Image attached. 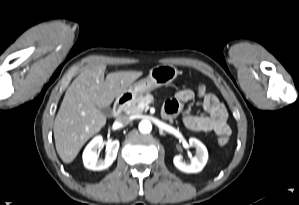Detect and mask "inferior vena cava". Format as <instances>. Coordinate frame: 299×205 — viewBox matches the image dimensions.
Instances as JSON below:
<instances>
[{"label":"inferior vena cava","instance_id":"1","mask_svg":"<svg viewBox=\"0 0 299 205\" xmlns=\"http://www.w3.org/2000/svg\"><path fill=\"white\" fill-rule=\"evenodd\" d=\"M130 122V119L127 116H120L117 118L116 123L119 126L127 125Z\"/></svg>","mask_w":299,"mask_h":205}]
</instances>
